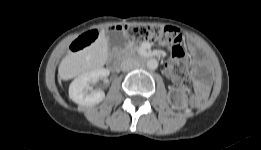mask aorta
Listing matches in <instances>:
<instances>
[{"mask_svg":"<svg viewBox=\"0 0 261 150\" xmlns=\"http://www.w3.org/2000/svg\"><path fill=\"white\" fill-rule=\"evenodd\" d=\"M146 65L149 70H155L158 68V61L156 59H149Z\"/></svg>","mask_w":261,"mask_h":150,"instance_id":"1","label":"aorta"}]
</instances>
